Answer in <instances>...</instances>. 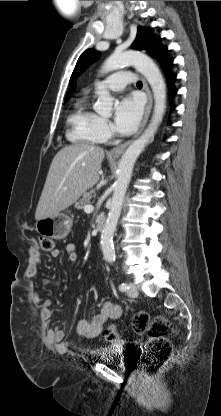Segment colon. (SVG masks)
I'll use <instances>...</instances> for the list:
<instances>
[{
    "mask_svg": "<svg viewBox=\"0 0 221 416\" xmlns=\"http://www.w3.org/2000/svg\"><path fill=\"white\" fill-rule=\"evenodd\" d=\"M40 248L45 252L54 250V241L51 238H40ZM132 329L137 334L148 333L149 341L145 346L141 368L145 375L155 377L169 360L172 354V344L168 339L173 332L172 324L163 316L153 319L145 311H138L132 318ZM103 336L110 342L119 339L115 326L111 325L103 330Z\"/></svg>",
    "mask_w": 221,
    "mask_h": 416,
    "instance_id": "colon-1",
    "label": "colon"
}]
</instances>
